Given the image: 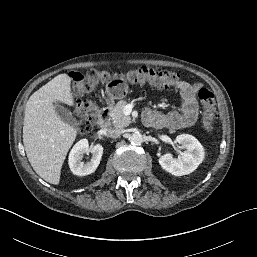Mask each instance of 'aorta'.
Listing matches in <instances>:
<instances>
[{
    "mask_svg": "<svg viewBox=\"0 0 257 257\" xmlns=\"http://www.w3.org/2000/svg\"><path fill=\"white\" fill-rule=\"evenodd\" d=\"M129 141L132 145H140L143 142V136L139 132L130 135Z\"/></svg>",
    "mask_w": 257,
    "mask_h": 257,
    "instance_id": "762f6f07",
    "label": "aorta"
}]
</instances>
